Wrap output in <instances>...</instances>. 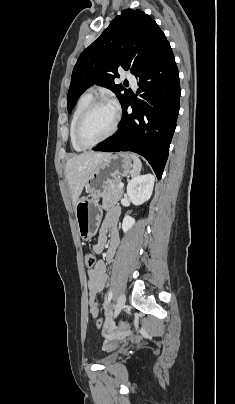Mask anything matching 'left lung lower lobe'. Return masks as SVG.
Masks as SVG:
<instances>
[{
  "mask_svg": "<svg viewBox=\"0 0 235 404\" xmlns=\"http://www.w3.org/2000/svg\"><path fill=\"white\" fill-rule=\"evenodd\" d=\"M135 76L139 80L140 98L126 99L117 133L94 150L138 153L147 159L160 179L176 128L180 100L179 74L170 44ZM129 106L131 114L127 112Z\"/></svg>",
  "mask_w": 235,
  "mask_h": 404,
  "instance_id": "0a47b994",
  "label": "left lung lower lobe"
}]
</instances>
